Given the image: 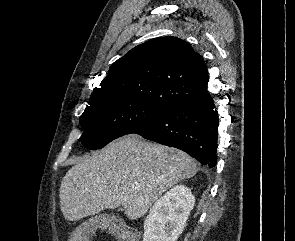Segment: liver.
Masks as SVG:
<instances>
[{
  "label": "liver",
  "instance_id": "obj_1",
  "mask_svg": "<svg viewBox=\"0 0 295 241\" xmlns=\"http://www.w3.org/2000/svg\"><path fill=\"white\" fill-rule=\"evenodd\" d=\"M196 172V162L185 152L125 136L76 160L61 183L60 209L66 220L76 221L122 205L125 215L136 220L165 191Z\"/></svg>",
  "mask_w": 295,
  "mask_h": 241
}]
</instances>
